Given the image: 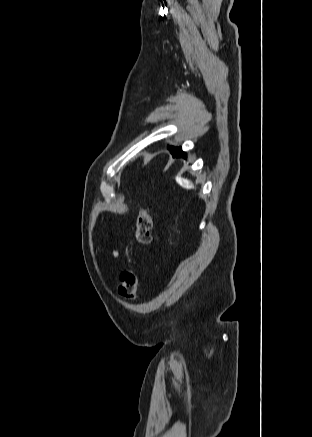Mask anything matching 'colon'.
<instances>
[{"instance_id":"colon-1","label":"colon","mask_w":312,"mask_h":437,"mask_svg":"<svg viewBox=\"0 0 312 437\" xmlns=\"http://www.w3.org/2000/svg\"><path fill=\"white\" fill-rule=\"evenodd\" d=\"M152 218L148 208L139 211L136 223L135 238L139 245L146 246L152 240ZM139 283L137 273L133 269H124L120 273L118 294L127 300L136 299V291Z\"/></svg>"}]
</instances>
